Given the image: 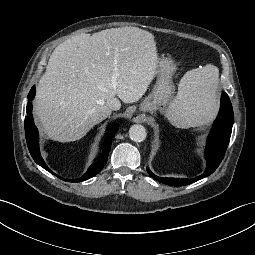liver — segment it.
<instances>
[{
  "instance_id": "6515ba94",
  "label": "liver",
  "mask_w": 255,
  "mask_h": 255,
  "mask_svg": "<svg viewBox=\"0 0 255 255\" xmlns=\"http://www.w3.org/2000/svg\"><path fill=\"white\" fill-rule=\"evenodd\" d=\"M154 35L138 27L79 34L59 44L39 80L34 110L51 139H81L111 115L107 100L138 101L153 80Z\"/></svg>"
}]
</instances>
